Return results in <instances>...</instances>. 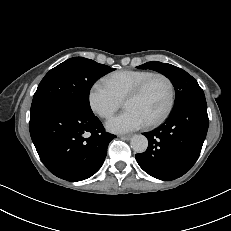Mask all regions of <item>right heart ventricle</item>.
Returning <instances> with one entry per match:
<instances>
[{"label":"right heart ventricle","mask_w":231,"mask_h":231,"mask_svg":"<svg viewBox=\"0 0 231 231\" xmlns=\"http://www.w3.org/2000/svg\"><path fill=\"white\" fill-rule=\"evenodd\" d=\"M153 74L148 70H121L104 79V83L121 100L131 93L142 81Z\"/></svg>","instance_id":"right-heart-ventricle-1"}]
</instances>
